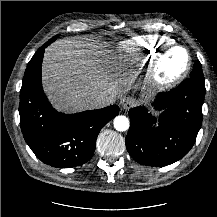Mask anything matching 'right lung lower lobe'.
Wrapping results in <instances>:
<instances>
[{
    "label": "right lung lower lobe",
    "instance_id": "98d812e1",
    "mask_svg": "<svg viewBox=\"0 0 217 217\" xmlns=\"http://www.w3.org/2000/svg\"><path fill=\"white\" fill-rule=\"evenodd\" d=\"M45 43L26 68L20 90V126L25 141L45 164L69 168L89 161L97 136L119 113L117 105L77 114H63L52 108L41 82Z\"/></svg>",
    "mask_w": 217,
    "mask_h": 217
}]
</instances>
